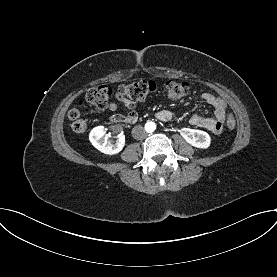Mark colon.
<instances>
[{"instance_id":"5ec220e1","label":"colon","mask_w":277,"mask_h":277,"mask_svg":"<svg viewBox=\"0 0 277 277\" xmlns=\"http://www.w3.org/2000/svg\"><path fill=\"white\" fill-rule=\"evenodd\" d=\"M159 85L152 80H137L130 83H124L119 86L117 94L136 103L145 100L150 94L156 92ZM189 84L185 81L170 79L163 85V90L171 100H178L189 93ZM113 94L109 85H99L88 90L85 101H80L79 105L87 102L98 108H105ZM81 112L78 107H73L68 111V118L72 121V130L76 133H83L88 128V121L81 119ZM225 121L229 129L235 127V118L232 112H227Z\"/></svg>"}]
</instances>
